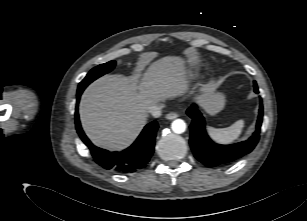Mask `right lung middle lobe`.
Here are the masks:
<instances>
[{
	"mask_svg": "<svg viewBox=\"0 0 307 221\" xmlns=\"http://www.w3.org/2000/svg\"><path fill=\"white\" fill-rule=\"evenodd\" d=\"M115 66V61H110L105 64H101L97 67H94L87 76L80 82L79 87L81 89H85L91 82L95 79L101 77L102 75L110 72Z\"/></svg>",
	"mask_w": 307,
	"mask_h": 221,
	"instance_id": "dd1d6c3e",
	"label": "right lung middle lobe"
}]
</instances>
